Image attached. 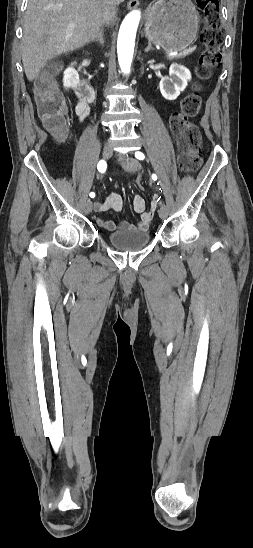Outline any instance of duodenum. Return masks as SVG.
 <instances>
[{
	"mask_svg": "<svg viewBox=\"0 0 253 548\" xmlns=\"http://www.w3.org/2000/svg\"><path fill=\"white\" fill-rule=\"evenodd\" d=\"M75 91L80 99L90 102L95 98V90L92 84L85 78L80 77L75 85Z\"/></svg>",
	"mask_w": 253,
	"mask_h": 548,
	"instance_id": "1",
	"label": "duodenum"
}]
</instances>
